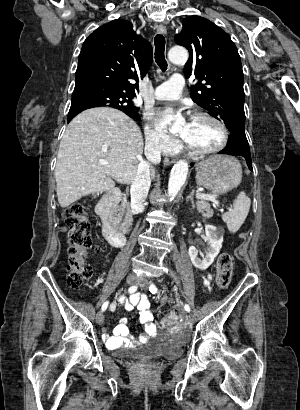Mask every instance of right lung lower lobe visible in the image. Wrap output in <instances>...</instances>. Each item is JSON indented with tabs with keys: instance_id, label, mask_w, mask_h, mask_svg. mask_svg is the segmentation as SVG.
<instances>
[{
	"instance_id": "right-lung-lower-lobe-1",
	"label": "right lung lower lobe",
	"mask_w": 300,
	"mask_h": 410,
	"mask_svg": "<svg viewBox=\"0 0 300 410\" xmlns=\"http://www.w3.org/2000/svg\"><path fill=\"white\" fill-rule=\"evenodd\" d=\"M75 116H76V115H73V116H68V122H70V121H71V119H73Z\"/></svg>"
}]
</instances>
